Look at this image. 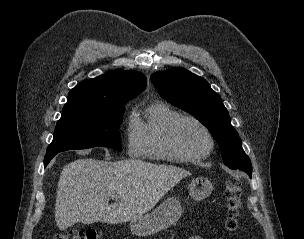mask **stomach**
<instances>
[{"mask_svg":"<svg viewBox=\"0 0 304 239\" xmlns=\"http://www.w3.org/2000/svg\"><path fill=\"white\" fill-rule=\"evenodd\" d=\"M213 190L211 181L205 177H197L189 184V194L196 200L208 197ZM183 208L176 198H168L154 211L130 221V230L136 236H149L167 229L179 220Z\"/></svg>","mask_w":304,"mask_h":239,"instance_id":"stomach-1","label":"stomach"}]
</instances>
